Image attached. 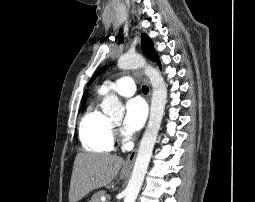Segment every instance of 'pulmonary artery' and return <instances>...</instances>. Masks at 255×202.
<instances>
[{"label": "pulmonary artery", "mask_w": 255, "mask_h": 202, "mask_svg": "<svg viewBox=\"0 0 255 202\" xmlns=\"http://www.w3.org/2000/svg\"><path fill=\"white\" fill-rule=\"evenodd\" d=\"M136 91L135 81L130 76L121 77L115 81L104 83L99 89L100 94L115 92L120 96L129 97Z\"/></svg>", "instance_id": "pulmonary-artery-1"}]
</instances>
